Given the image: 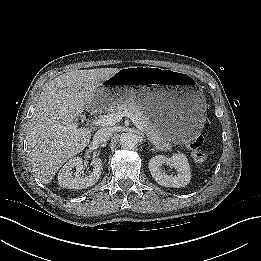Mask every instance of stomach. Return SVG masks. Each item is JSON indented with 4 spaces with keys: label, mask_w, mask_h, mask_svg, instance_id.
<instances>
[{
    "label": "stomach",
    "mask_w": 261,
    "mask_h": 261,
    "mask_svg": "<svg viewBox=\"0 0 261 261\" xmlns=\"http://www.w3.org/2000/svg\"><path fill=\"white\" fill-rule=\"evenodd\" d=\"M132 76L142 79L138 86L123 82ZM111 79L115 81L95 97L97 108L134 101L147 111L156 130L176 143H189L201 131L205 99L190 77L157 67H128Z\"/></svg>",
    "instance_id": "1"
}]
</instances>
